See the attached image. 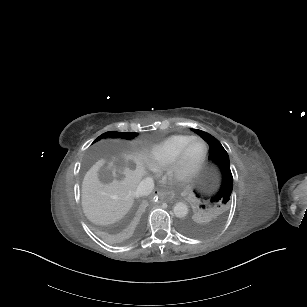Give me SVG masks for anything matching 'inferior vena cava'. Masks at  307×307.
I'll list each match as a JSON object with an SVG mask.
<instances>
[{"mask_svg":"<svg viewBox=\"0 0 307 307\" xmlns=\"http://www.w3.org/2000/svg\"><path fill=\"white\" fill-rule=\"evenodd\" d=\"M153 189H154L153 179L147 177L138 184L137 189L135 191V195L137 197L148 196L153 191Z\"/></svg>","mask_w":307,"mask_h":307,"instance_id":"1","label":"inferior vena cava"}]
</instances>
